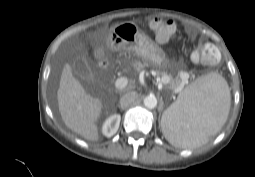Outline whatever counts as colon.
Returning <instances> with one entry per match:
<instances>
[{"label": "colon", "mask_w": 255, "mask_h": 177, "mask_svg": "<svg viewBox=\"0 0 255 177\" xmlns=\"http://www.w3.org/2000/svg\"><path fill=\"white\" fill-rule=\"evenodd\" d=\"M149 24L156 38L161 42L167 41L173 34L175 28L171 20L159 16L151 17ZM191 58L195 63L214 64L219 59V51L213 44L200 43L193 51Z\"/></svg>", "instance_id": "obj_1"}]
</instances>
